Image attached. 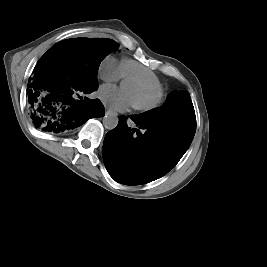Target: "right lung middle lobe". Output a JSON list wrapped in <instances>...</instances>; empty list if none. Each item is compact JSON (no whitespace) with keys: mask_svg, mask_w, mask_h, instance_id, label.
<instances>
[{"mask_svg":"<svg viewBox=\"0 0 267 267\" xmlns=\"http://www.w3.org/2000/svg\"><path fill=\"white\" fill-rule=\"evenodd\" d=\"M119 44L107 38H73L60 41L43 56L42 61L58 66L76 83L98 86L97 73L106 55L118 49Z\"/></svg>","mask_w":267,"mask_h":267,"instance_id":"1","label":"right lung middle lobe"}]
</instances>
